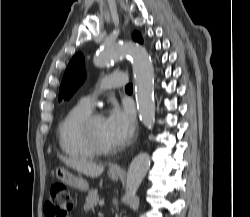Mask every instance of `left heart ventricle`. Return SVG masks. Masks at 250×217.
<instances>
[{
    "label": "left heart ventricle",
    "instance_id": "left-heart-ventricle-1",
    "mask_svg": "<svg viewBox=\"0 0 250 217\" xmlns=\"http://www.w3.org/2000/svg\"><path fill=\"white\" fill-rule=\"evenodd\" d=\"M94 133L97 140L106 147H116V143L112 139L104 116L99 117L94 122Z\"/></svg>",
    "mask_w": 250,
    "mask_h": 217
}]
</instances>
